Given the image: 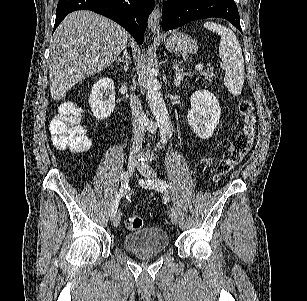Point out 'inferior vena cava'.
I'll return each instance as SVG.
<instances>
[{"label": "inferior vena cava", "mask_w": 307, "mask_h": 301, "mask_svg": "<svg viewBox=\"0 0 307 301\" xmlns=\"http://www.w3.org/2000/svg\"><path fill=\"white\" fill-rule=\"evenodd\" d=\"M130 106L132 112V124H133V140L130 155H136L142 146V142L145 138V122L148 118L142 108V104L135 96L131 94L130 96Z\"/></svg>", "instance_id": "inferior-vena-cava-1"}]
</instances>
